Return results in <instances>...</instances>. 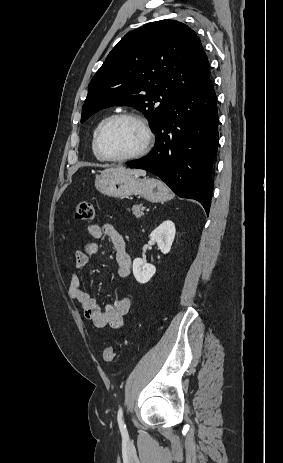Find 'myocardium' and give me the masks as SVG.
<instances>
[{"label":"myocardium","instance_id":"1","mask_svg":"<svg viewBox=\"0 0 283 463\" xmlns=\"http://www.w3.org/2000/svg\"><path fill=\"white\" fill-rule=\"evenodd\" d=\"M122 119L134 120L141 126L143 133H144V137H145L143 146L137 152L131 155H128V156H124V157L107 156L106 154H104L101 148V136L104 130L111 123L118 121V120H122ZM154 140L155 138H154V133L152 131V128L148 120L144 116L136 112H121V113L111 115L110 117L106 118L101 123L94 137V147H95L97 154L102 160L108 161V162H114V163H125V162L140 159L144 157L146 154H148L153 147Z\"/></svg>","mask_w":283,"mask_h":463}]
</instances>
